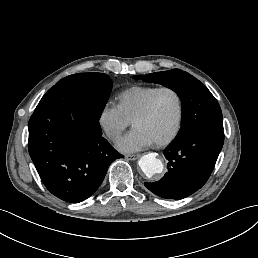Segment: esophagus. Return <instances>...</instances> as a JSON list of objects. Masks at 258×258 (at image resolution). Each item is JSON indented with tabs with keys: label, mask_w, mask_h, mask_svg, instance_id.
<instances>
[{
	"label": "esophagus",
	"mask_w": 258,
	"mask_h": 258,
	"mask_svg": "<svg viewBox=\"0 0 258 258\" xmlns=\"http://www.w3.org/2000/svg\"><path fill=\"white\" fill-rule=\"evenodd\" d=\"M139 157H141L140 154H136V155H126V156H125V159H126V160H136V159H138Z\"/></svg>",
	"instance_id": "obj_1"
}]
</instances>
